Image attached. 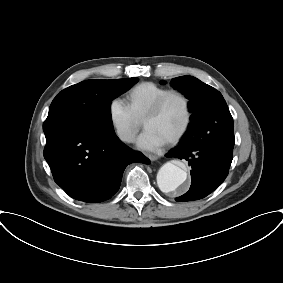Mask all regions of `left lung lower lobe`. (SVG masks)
Wrapping results in <instances>:
<instances>
[{"label":"left lung lower lobe","mask_w":283,"mask_h":283,"mask_svg":"<svg viewBox=\"0 0 283 283\" xmlns=\"http://www.w3.org/2000/svg\"><path fill=\"white\" fill-rule=\"evenodd\" d=\"M203 124L196 123L181 138L179 144L167 157L185 159L191 166V186L187 193L176 201H192L206 197L226 178L233 150L206 144L203 140Z\"/></svg>","instance_id":"obj_1"}]
</instances>
